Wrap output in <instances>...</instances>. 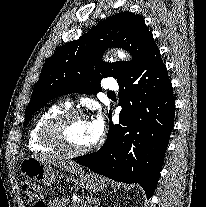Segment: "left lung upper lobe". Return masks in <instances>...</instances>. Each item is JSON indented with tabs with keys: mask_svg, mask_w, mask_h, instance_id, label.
<instances>
[{
	"mask_svg": "<svg viewBox=\"0 0 206 207\" xmlns=\"http://www.w3.org/2000/svg\"><path fill=\"white\" fill-rule=\"evenodd\" d=\"M153 45L152 34L139 15L121 12L99 22L80 39L60 47L47 59L26 108L24 126L36 111L60 95L95 94L101 89V80L109 76L121 81ZM110 47L126 49L133 60L104 62L102 54Z\"/></svg>",
	"mask_w": 206,
	"mask_h": 207,
	"instance_id": "left-lung-upper-lobe-1",
	"label": "left lung upper lobe"
}]
</instances>
